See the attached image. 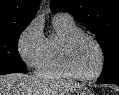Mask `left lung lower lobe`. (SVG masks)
Wrapping results in <instances>:
<instances>
[{
    "label": "left lung lower lobe",
    "mask_w": 119,
    "mask_h": 95,
    "mask_svg": "<svg viewBox=\"0 0 119 95\" xmlns=\"http://www.w3.org/2000/svg\"><path fill=\"white\" fill-rule=\"evenodd\" d=\"M98 84H104V83H108V82H105V81H102V80H99L98 79V82H97ZM112 84H116L117 86H119V82H114V83H112Z\"/></svg>",
    "instance_id": "left-lung-lower-lobe-1"
}]
</instances>
